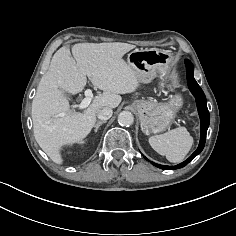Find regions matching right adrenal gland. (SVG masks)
I'll return each mask as SVG.
<instances>
[{"mask_svg":"<svg viewBox=\"0 0 236 236\" xmlns=\"http://www.w3.org/2000/svg\"><path fill=\"white\" fill-rule=\"evenodd\" d=\"M106 122H107V120H103V121L97 122V124L95 125L94 132L97 133L99 127H100L102 124L106 123Z\"/></svg>","mask_w":236,"mask_h":236,"instance_id":"right-adrenal-gland-1","label":"right adrenal gland"}]
</instances>
